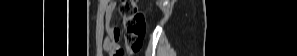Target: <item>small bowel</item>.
Segmentation results:
<instances>
[{
    "mask_svg": "<svg viewBox=\"0 0 297 56\" xmlns=\"http://www.w3.org/2000/svg\"><path fill=\"white\" fill-rule=\"evenodd\" d=\"M114 9V4L107 5L105 16V28L107 35L103 40V49L112 56L115 55L116 51L121 50L119 44L121 38V30L111 25Z\"/></svg>",
    "mask_w": 297,
    "mask_h": 56,
    "instance_id": "1",
    "label": "small bowel"
}]
</instances>
